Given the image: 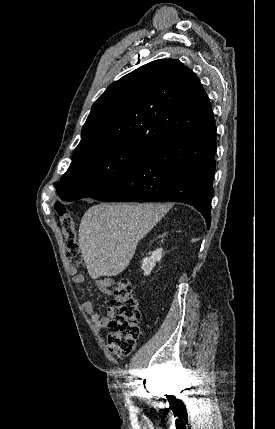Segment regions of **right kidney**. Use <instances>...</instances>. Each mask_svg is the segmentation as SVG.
Segmentation results:
<instances>
[{
  "label": "right kidney",
  "instance_id": "obj_1",
  "mask_svg": "<svg viewBox=\"0 0 275 429\" xmlns=\"http://www.w3.org/2000/svg\"><path fill=\"white\" fill-rule=\"evenodd\" d=\"M163 242V240H162ZM162 248H157L155 251L150 252V257H145L142 261L141 269L144 271V275H150L156 262H159L162 258Z\"/></svg>",
  "mask_w": 275,
  "mask_h": 429
}]
</instances>
